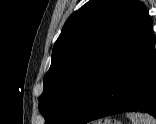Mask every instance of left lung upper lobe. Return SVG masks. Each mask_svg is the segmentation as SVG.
Returning <instances> with one entry per match:
<instances>
[{
    "mask_svg": "<svg viewBox=\"0 0 156 124\" xmlns=\"http://www.w3.org/2000/svg\"><path fill=\"white\" fill-rule=\"evenodd\" d=\"M152 25L138 0H90L66 21L45 74V124H78L106 76Z\"/></svg>",
    "mask_w": 156,
    "mask_h": 124,
    "instance_id": "left-lung-upper-lobe-1",
    "label": "left lung upper lobe"
}]
</instances>
